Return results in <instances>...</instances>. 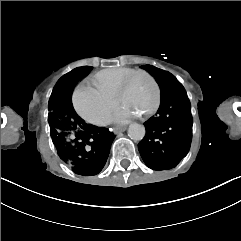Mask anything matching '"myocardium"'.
<instances>
[{
	"instance_id": "1",
	"label": "myocardium",
	"mask_w": 241,
	"mask_h": 241,
	"mask_svg": "<svg viewBox=\"0 0 241 241\" xmlns=\"http://www.w3.org/2000/svg\"><path fill=\"white\" fill-rule=\"evenodd\" d=\"M145 77L147 78V80L151 83L152 85V89H153V93H154V97H155V100H154V103L153 105H151V107L149 108V110L145 111L144 113H142V118L146 119L148 118V116H150V114H153L154 113V110H156V108H158V104L160 103V99H161V91L159 90V86H158V83L157 81H155V75L154 73H150V71L146 70H138V71H135L132 72L130 75H125L124 78H123V81L120 83L119 87H118V91H117V100H122L124 99V96H123V91L126 87L127 84H129L130 82L134 81V80H137L138 78L140 77Z\"/></svg>"
}]
</instances>
